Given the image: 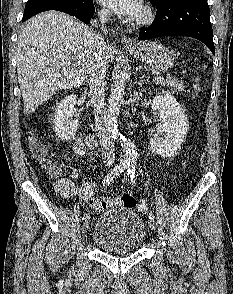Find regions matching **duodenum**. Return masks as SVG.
Segmentation results:
<instances>
[{"label": "duodenum", "mask_w": 233, "mask_h": 294, "mask_svg": "<svg viewBox=\"0 0 233 294\" xmlns=\"http://www.w3.org/2000/svg\"><path fill=\"white\" fill-rule=\"evenodd\" d=\"M85 141H86L87 143H91V142H92V139H91L90 137H85Z\"/></svg>", "instance_id": "obj_1"}]
</instances>
